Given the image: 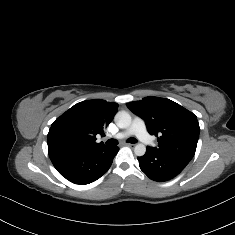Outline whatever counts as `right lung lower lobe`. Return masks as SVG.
I'll return each instance as SVG.
<instances>
[{
	"label": "right lung lower lobe",
	"instance_id": "right-lung-lower-lobe-1",
	"mask_svg": "<svg viewBox=\"0 0 235 235\" xmlns=\"http://www.w3.org/2000/svg\"><path fill=\"white\" fill-rule=\"evenodd\" d=\"M119 147L96 149L48 148L56 170L75 184H89L99 179L110 168Z\"/></svg>",
	"mask_w": 235,
	"mask_h": 235
}]
</instances>
